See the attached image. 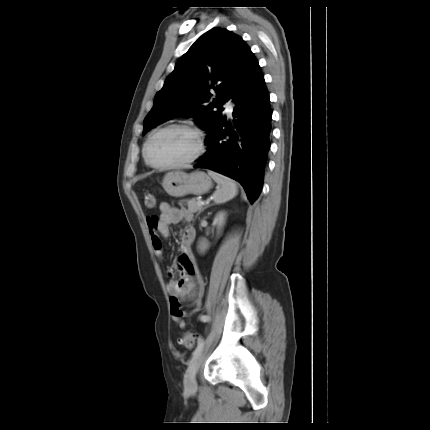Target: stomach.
<instances>
[{"label": "stomach", "instance_id": "obj_1", "mask_svg": "<svg viewBox=\"0 0 430 430\" xmlns=\"http://www.w3.org/2000/svg\"><path fill=\"white\" fill-rule=\"evenodd\" d=\"M164 190L172 197L188 194L202 195L212 187L211 178L203 171L186 173L171 171L165 174L162 182Z\"/></svg>", "mask_w": 430, "mask_h": 430}]
</instances>
